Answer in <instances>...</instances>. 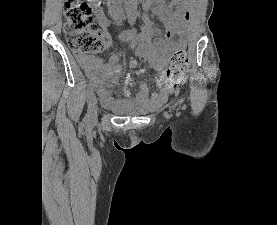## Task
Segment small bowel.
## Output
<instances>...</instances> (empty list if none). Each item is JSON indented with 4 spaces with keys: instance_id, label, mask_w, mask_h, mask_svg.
I'll return each mask as SVG.
<instances>
[{
    "instance_id": "c3829d8e",
    "label": "small bowel",
    "mask_w": 277,
    "mask_h": 225,
    "mask_svg": "<svg viewBox=\"0 0 277 225\" xmlns=\"http://www.w3.org/2000/svg\"><path fill=\"white\" fill-rule=\"evenodd\" d=\"M153 4L156 5L155 12L159 16L165 32L159 25L153 23L146 13ZM94 9L99 23L103 27L101 37L105 41L106 47L112 48V40L107 32V27L110 24L109 19L97 4L94 5ZM143 10L144 24L141 27V32L137 33L135 29L127 30L122 32L119 38L121 41L127 42L137 55L149 58L153 69L161 72L167 60L171 41H173L177 30V19H189V12L184 10L182 5H179L174 11L164 4L163 0H145ZM77 59L91 80L92 87H95L102 94H106V87L116 80L121 71L117 55L110 56L106 63H103L97 57L87 54H77ZM174 90L175 86L173 84L165 80H159V87L152 93L149 92L146 85H142L139 100L160 104Z\"/></svg>"
}]
</instances>
